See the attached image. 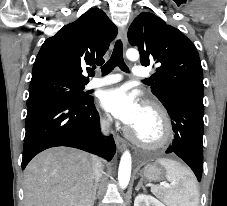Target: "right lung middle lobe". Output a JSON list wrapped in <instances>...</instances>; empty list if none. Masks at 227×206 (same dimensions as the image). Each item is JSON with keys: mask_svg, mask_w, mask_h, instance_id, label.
<instances>
[{"mask_svg": "<svg viewBox=\"0 0 227 206\" xmlns=\"http://www.w3.org/2000/svg\"><path fill=\"white\" fill-rule=\"evenodd\" d=\"M84 85L57 79L33 82L29 87L27 105L42 100L84 102L91 99V97L83 92Z\"/></svg>", "mask_w": 227, "mask_h": 206, "instance_id": "dd1d6c3e", "label": "right lung middle lobe"}]
</instances>
